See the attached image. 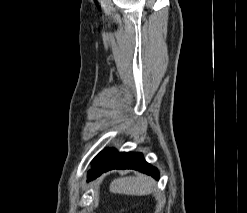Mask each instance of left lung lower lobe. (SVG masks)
<instances>
[{
  "label": "left lung lower lobe",
  "mask_w": 247,
  "mask_h": 213,
  "mask_svg": "<svg viewBox=\"0 0 247 213\" xmlns=\"http://www.w3.org/2000/svg\"><path fill=\"white\" fill-rule=\"evenodd\" d=\"M88 172V181L112 169H134L159 179L157 168L148 164L141 153L117 152L115 149H105L92 160Z\"/></svg>",
  "instance_id": "obj_1"
}]
</instances>
